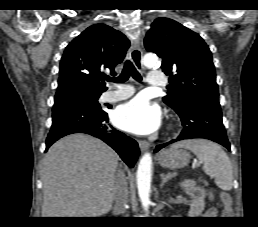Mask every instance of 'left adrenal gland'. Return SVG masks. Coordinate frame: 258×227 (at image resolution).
<instances>
[{
    "label": "left adrenal gland",
    "mask_w": 258,
    "mask_h": 227,
    "mask_svg": "<svg viewBox=\"0 0 258 227\" xmlns=\"http://www.w3.org/2000/svg\"><path fill=\"white\" fill-rule=\"evenodd\" d=\"M174 176H175L174 173L161 174L162 182H161L160 187H163L164 184H165L169 179L173 178Z\"/></svg>",
    "instance_id": "a2214340"
}]
</instances>
